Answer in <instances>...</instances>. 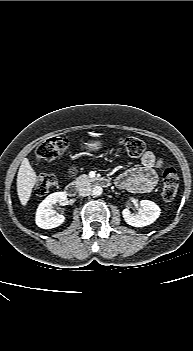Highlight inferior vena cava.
I'll return each mask as SVG.
<instances>
[{"label": "inferior vena cava", "mask_w": 193, "mask_h": 351, "mask_svg": "<svg viewBox=\"0 0 193 351\" xmlns=\"http://www.w3.org/2000/svg\"><path fill=\"white\" fill-rule=\"evenodd\" d=\"M80 196H88L91 193V186L88 184H83L78 188Z\"/></svg>", "instance_id": "inferior-vena-cava-1"}]
</instances>
